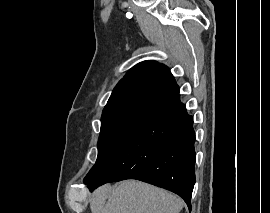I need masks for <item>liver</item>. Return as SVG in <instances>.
<instances>
[{
	"label": "liver",
	"instance_id": "obj_1",
	"mask_svg": "<svg viewBox=\"0 0 270 213\" xmlns=\"http://www.w3.org/2000/svg\"><path fill=\"white\" fill-rule=\"evenodd\" d=\"M182 207L179 197L134 180L101 186L90 198L91 213H179Z\"/></svg>",
	"mask_w": 270,
	"mask_h": 213
}]
</instances>
